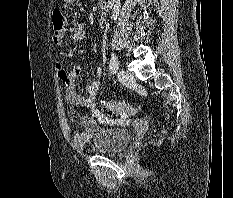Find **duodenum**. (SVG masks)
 Instances as JSON below:
<instances>
[{
  "label": "duodenum",
  "mask_w": 233,
  "mask_h": 198,
  "mask_svg": "<svg viewBox=\"0 0 233 198\" xmlns=\"http://www.w3.org/2000/svg\"><path fill=\"white\" fill-rule=\"evenodd\" d=\"M113 0H101L100 2V14L101 16L106 15L108 10L112 7Z\"/></svg>",
  "instance_id": "obj_1"
}]
</instances>
